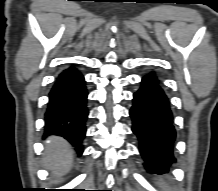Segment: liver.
<instances>
[{
  "label": "liver",
  "instance_id": "6515ba94",
  "mask_svg": "<svg viewBox=\"0 0 218 191\" xmlns=\"http://www.w3.org/2000/svg\"><path fill=\"white\" fill-rule=\"evenodd\" d=\"M73 153L72 147L66 140L52 136L46 143L44 166L59 179L71 169Z\"/></svg>",
  "mask_w": 218,
  "mask_h": 191
}]
</instances>
